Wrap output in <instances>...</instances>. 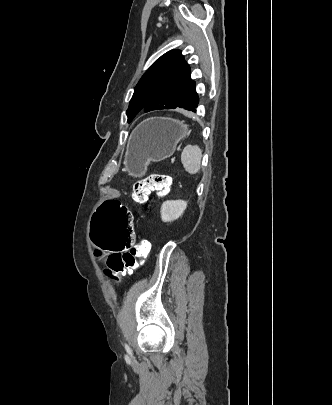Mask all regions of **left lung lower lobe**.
Masks as SVG:
<instances>
[{
    "instance_id": "obj_1",
    "label": "left lung lower lobe",
    "mask_w": 332,
    "mask_h": 405,
    "mask_svg": "<svg viewBox=\"0 0 332 405\" xmlns=\"http://www.w3.org/2000/svg\"><path fill=\"white\" fill-rule=\"evenodd\" d=\"M196 108H197V106L195 107V109H193V110H190V111L196 112Z\"/></svg>"
}]
</instances>
